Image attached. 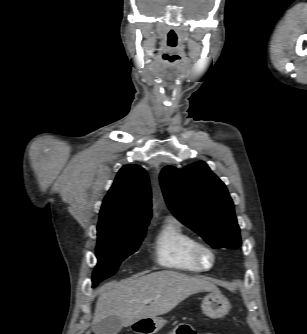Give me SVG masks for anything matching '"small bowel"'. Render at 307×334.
I'll list each match as a JSON object with an SVG mask.
<instances>
[{"label":"small bowel","instance_id":"1","mask_svg":"<svg viewBox=\"0 0 307 334\" xmlns=\"http://www.w3.org/2000/svg\"><path fill=\"white\" fill-rule=\"evenodd\" d=\"M172 334H195L192 332L189 328H177ZM206 334H212V333H206Z\"/></svg>","mask_w":307,"mask_h":334}]
</instances>
